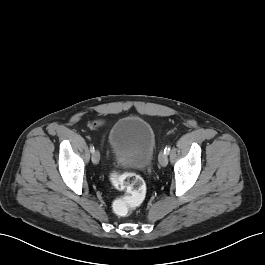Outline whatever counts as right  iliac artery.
Returning <instances> with one entry per match:
<instances>
[{
  "instance_id": "1",
  "label": "right iliac artery",
  "mask_w": 265,
  "mask_h": 265,
  "mask_svg": "<svg viewBox=\"0 0 265 265\" xmlns=\"http://www.w3.org/2000/svg\"><path fill=\"white\" fill-rule=\"evenodd\" d=\"M90 151H91V153H93L95 151L94 146L90 147Z\"/></svg>"
}]
</instances>
